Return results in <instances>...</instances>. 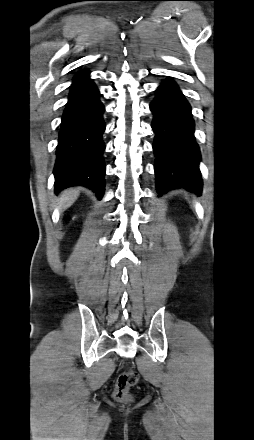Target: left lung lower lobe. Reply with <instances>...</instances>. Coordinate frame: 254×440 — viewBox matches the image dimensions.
I'll return each instance as SVG.
<instances>
[{"label":"left lung lower lobe","mask_w":254,"mask_h":440,"mask_svg":"<svg viewBox=\"0 0 254 440\" xmlns=\"http://www.w3.org/2000/svg\"><path fill=\"white\" fill-rule=\"evenodd\" d=\"M156 135L153 149L158 191L185 188L200 194L199 147L195 141L191 107L176 83L166 80L150 104Z\"/></svg>","instance_id":"0a47b994"}]
</instances>
